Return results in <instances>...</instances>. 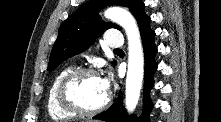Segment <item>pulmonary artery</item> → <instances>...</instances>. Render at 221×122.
I'll list each match as a JSON object with an SVG mask.
<instances>
[{
  "instance_id": "e3ab8cb5",
  "label": "pulmonary artery",
  "mask_w": 221,
  "mask_h": 122,
  "mask_svg": "<svg viewBox=\"0 0 221 122\" xmlns=\"http://www.w3.org/2000/svg\"><path fill=\"white\" fill-rule=\"evenodd\" d=\"M105 42L107 46L113 49H120L124 43L122 35L117 31L109 33L105 39Z\"/></svg>"
}]
</instances>
